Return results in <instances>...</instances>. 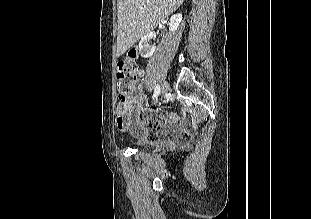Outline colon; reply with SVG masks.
I'll use <instances>...</instances> for the list:
<instances>
[{
	"label": "colon",
	"mask_w": 311,
	"mask_h": 219,
	"mask_svg": "<svg viewBox=\"0 0 311 219\" xmlns=\"http://www.w3.org/2000/svg\"><path fill=\"white\" fill-rule=\"evenodd\" d=\"M137 75V67L133 64L130 59H120L116 64V81H117V89L119 92V103H127L129 96L133 90ZM155 127H152V130ZM171 131L168 130L164 125L161 126V132ZM174 132V131H172ZM175 133V132H174ZM179 138L175 142L177 144H182L186 142V137L180 136L175 133ZM159 136H151L150 140H158Z\"/></svg>",
	"instance_id": "colon-1"
}]
</instances>
